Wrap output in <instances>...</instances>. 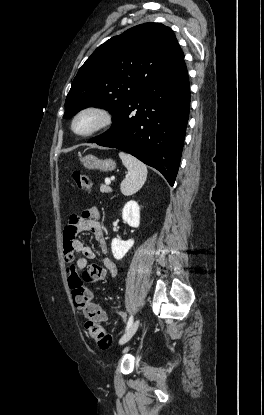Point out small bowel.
Returning <instances> with one entry per match:
<instances>
[{
  "label": "small bowel",
  "instance_id": "small-bowel-1",
  "mask_svg": "<svg viewBox=\"0 0 264 415\" xmlns=\"http://www.w3.org/2000/svg\"><path fill=\"white\" fill-rule=\"evenodd\" d=\"M100 210L96 207H90L82 212L80 216H71L69 225L64 231V250L63 255L66 262L72 264L77 271L86 268L88 262L95 258L94 250L85 245L76 237V233L89 231L93 234L98 248L102 253L107 252V243L104 238L101 224L98 220ZM75 219V221H71ZM78 256V257H76ZM103 264L111 277L117 273V268L112 259L105 257ZM103 314L102 321L106 320V313L100 309Z\"/></svg>",
  "mask_w": 264,
  "mask_h": 415
}]
</instances>
